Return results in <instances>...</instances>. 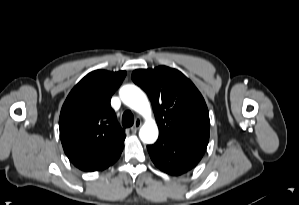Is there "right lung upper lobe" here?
Listing matches in <instances>:
<instances>
[{"label":"right lung upper lobe","mask_w":299,"mask_h":205,"mask_svg":"<svg viewBox=\"0 0 299 205\" xmlns=\"http://www.w3.org/2000/svg\"><path fill=\"white\" fill-rule=\"evenodd\" d=\"M125 76V71H93L79 81L62 106V146L69 160L82 171L104 170L121 155L125 132L110 99Z\"/></svg>","instance_id":"obj_1"}]
</instances>
